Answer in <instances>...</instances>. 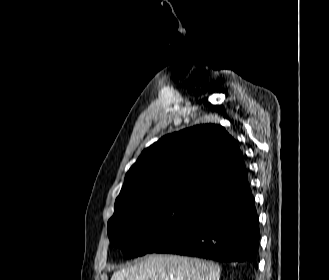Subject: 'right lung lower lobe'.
Segmentation results:
<instances>
[{
	"label": "right lung lower lobe",
	"mask_w": 329,
	"mask_h": 280,
	"mask_svg": "<svg viewBox=\"0 0 329 280\" xmlns=\"http://www.w3.org/2000/svg\"><path fill=\"white\" fill-rule=\"evenodd\" d=\"M259 226L242 168L214 184L184 222L149 253H172L257 267Z\"/></svg>",
	"instance_id": "1"
}]
</instances>
